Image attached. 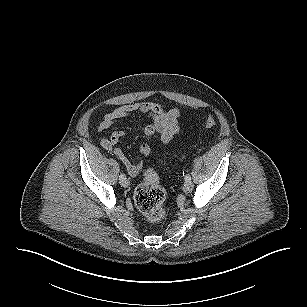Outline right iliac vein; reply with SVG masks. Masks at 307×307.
<instances>
[{
    "mask_svg": "<svg viewBox=\"0 0 307 307\" xmlns=\"http://www.w3.org/2000/svg\"><path fill=\"white\" fill-rule=\"evenodd\" d=\"M121 185L125 188H127L130 185V182L127 178H124L120 181Z\"/></svg>",
    "mask_w": 307,
    "mask_h": 307,
    "instance_id": "63e3f726",
    "label": "right iliac vein"
}]
</instances>
